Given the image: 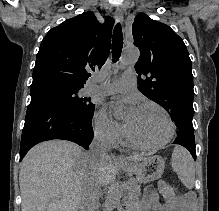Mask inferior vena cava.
<instances>
[{
	"label": "inferior vena cava",
	"mask_w": 219,
	"mask_h": 211,
	"mask_svg": "<svg viewBox=\"0 0 219 211\" xmlns=\"http://www.w3.org/2000/svg\"><path fill=\"white\" fill-rule=\"evenodd\" d=\"M90 153H89V161H90V171H92L93 175H100L101 171H103V166H105V161L102 159H108L110 155H108V151L111 149L110 145V137H108L107 133H99V135H95L92 143H90ZM92 183H84L83 187L80 189V192L83 193L81 197L80 207H82V211H95L94 207H96V202H94V197L92 193L96 192L98 187L97 183H93L95 180L92 178L90 180Z\"/></svg>",
	"instance_id": "1"
}]
</instances>
